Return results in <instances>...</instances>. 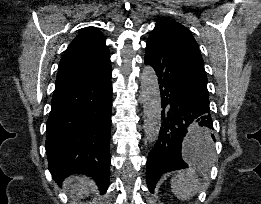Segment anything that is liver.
<instances>
[{
	"instance_id": "liver-1",
	"label": "liver",
	"mask_w": 261,
	"mask_h": 204,
	"mask_svg": "<svg viewBox=\"0 0 261 204\" xmlns=\"http://www.w3.org/2000/svg\"><path fill=\"white\" fill-rule=\"evenodd\" d=\"M65 185L70 189L71 193L78 195H88L94 189L92 179L85 176H73L66 180Z\"/></svg>"
}]
</instances>
